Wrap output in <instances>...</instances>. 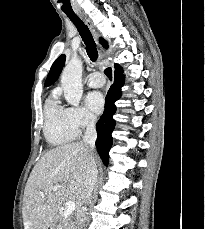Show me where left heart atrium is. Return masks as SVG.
I'll return each instance as SVG.
<instances>
[{"instance_id": "1", "label": "left heart atrium", "mask_w": 205, "mask_h": 229, "mask_svg": "<svg viewBox=\"0 0 205 229\" xmlns=\"http://www.w3.org/2000/svg\"><path fill=\"white\" fill-rule=\"evenodd\" d=\"M86 103L88 108L96 113L99 114L104 109V98L99 92H92L86 98Z\"/></svg>"}]
</instances>
